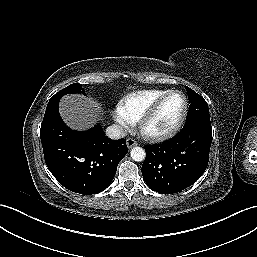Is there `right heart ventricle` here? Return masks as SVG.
Listing matches in <instances>:
<instances>
[{
	"instance_id": "right-heart-ventricle-1",
	"label": "right heart ventricle",
	"mask_w": 257,
	"mask_h": 257,
	"mask_svg": "<svg viewBox=\"0 0 257 257\" xmlns=\"http://www.w3.org/2000/svg\"><path fill=\"white\" fill-rule=\"evenodd\" d=\"M170 90L150 89L130 93L119 102V108L131 122H137L149 107Z\"/></svg>"
}]
</instances>
